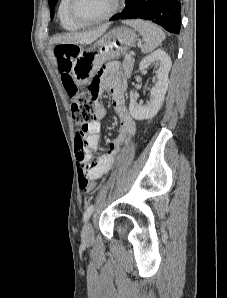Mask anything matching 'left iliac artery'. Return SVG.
<instances>
[{
  "mask_svg": "<svg viewBox=\"0 0 227 298\" xmlns=\"http://www.w3.org/2000/svg\"><path fill=\"white\" fill-rule=\"evenodd\" d=\"M93 210H94V205L93 204H91L90 206L87 207V209L84 213V216H83V221L84 222H87L89 220Z\"/></svg>",
  "mask_w": 227,
  "mask_h": 298,
  "instance_id": "left-iliac-artery-1",
  "label": "left iliac artery"
}]
</instances>
